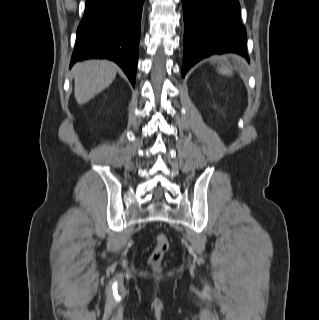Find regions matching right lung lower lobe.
<instances>
[{"label":"right lung lower lobe","mask_w":319,"mask_h":320,"mask_svg":"<svg viewBox=\"0 0 319 320\" xmlns=\"http://www.w3.org/2000/svg\"><path fill=\"white\" fill-rule=\"evenodd\" d=\"M144 0H86L70 66L87 58L115 61L135 85Z\"/></svg>","instance_id":"98d812e1"}]
</instances>
